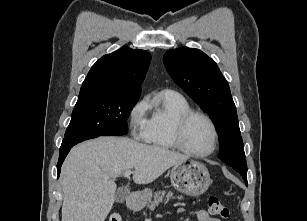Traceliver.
<instances>
[{"label":"liver","instance_id":"liver-1","mask_svg":"<svg viewBox=\"0 0 307 221\" xmlns=\"http://www.w3.org/2000/svg\"><path fill=\"white\" fill-rule=\"evenodd\" d=\"M187 156L129 138L99 137L71 149L61 171L62 221H104L115 200V178L134 169L148 184Z\"/></svg>","mask_w":307,"mask_h":221}]
</instances>
